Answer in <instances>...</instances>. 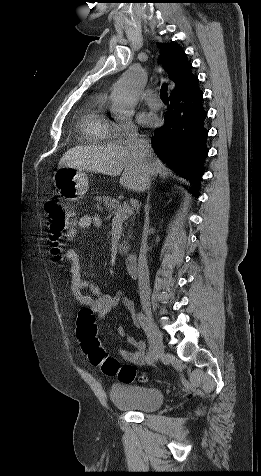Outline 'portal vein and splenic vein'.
<instances>
[{
	"instance_id": "obj_1",
	"label": "portal vein and splenic vein",
	"mask_w": 261,
	"mask_h": 476,
	"mask_svg": "<svg viewBox=\"0 0 261 476\" xmlns=\"http://www.w3.org/2000/svg\"><path fill=\"white\" fill-rule=\"evenodd\" d=\"M133 214V209L130 205L124 203L122 209L118 210L113 218V221H123Z\"/></svg>"
}]
</instances>
